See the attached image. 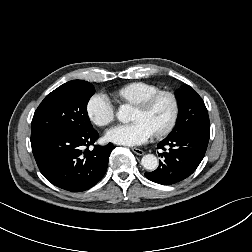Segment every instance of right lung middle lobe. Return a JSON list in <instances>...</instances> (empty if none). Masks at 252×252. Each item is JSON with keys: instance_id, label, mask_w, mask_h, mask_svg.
<instances>
[{"instance_id": "obj_1", "label": "right lung middle lobe", "mask_w": 252, "mask_h": 252, "mask_svg": "<svg viewBox=\"0 0 252 252\" xmlns=\"http://www.w3.org/2000/svg\"><path fill=\"white\" fill-rule=\"evenodd\" d=\"M95 93L93 85L83 80L69 81L41 102L32 119V133L88 132L93 129L87 103Z\"/></svg>"}]
</instances>
